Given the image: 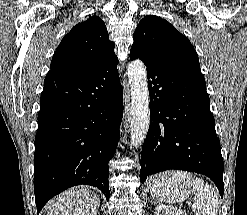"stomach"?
<instances>
[{"label": "stomach", "mask_w": 247, "mask_h": 215, "mask_svg": "<svg viewBox=\"0 0 247 215\" xmlns=\"http://www.w3.org/2000/svg\"><path fill=\"white\" fill-rule=\"evenodd\" d=\"M192 176L186 172H168L153 180L151 194L159 201L181 202L189 197Z\"/></svg>", "instance_id": "stomach-1"}]
</instances>
